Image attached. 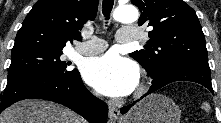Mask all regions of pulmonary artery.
Here are the masks:
<instances>
[{
    "instance_id": "1",
    "label": "pulmonary artery",
    "mask_w": 221,
    "mask_h": 123,
    "mask_svg": "<svg viewBox=\"0 0 221 123\" xmlns=\"http://www.w3.org/2000/svg\"><path fill=\"white\" fill-rule=\"evenodd\" d=\"M139 35L132 28H121L116 36L119 43H131L136 41ZM107 48V43L103 39L93 37L90 40L76 46V51L82 55H95L103 52Z\"/></svg>"
}]
</instances>
